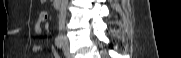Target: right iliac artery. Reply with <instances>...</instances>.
<instances>
[{
    "mask_svg": "<svg viewBox=\"0 0 181 58\" xmlns=\"http://www.w3.org/2000/svg\"><path fill=\"white\" fill-rule=\"evenodd\" d=\"M55 45L58 47V48H62L63 46V37L61 35L57 36L55 38Z\"/></svg>",
    "mask_w": 181,
    "mask_h": 58,
    "instance_id": "82829eb1",
    "label": "right iliac artery"
}]
</instances>
